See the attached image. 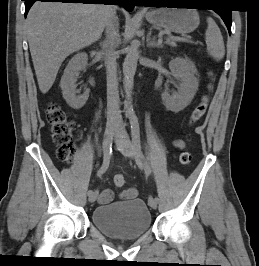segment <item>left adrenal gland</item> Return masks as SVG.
<instances>
[{
  "mask_svg": "<svg viewBox=\"0 0 259 266\" xmlns=\"http://www.w3.org/2000/svg\"><path fill=\"white\" fill-rule=\"evenodd\" d=\"M151 29L147 35V47H162V40L161 38L158 41H155L151 38Z\"/></svg>",
  "mask_w": 259,
  "mask_h": 266,
  "instance_id": "obj_1",
  "label": "left adrenal gland"
}]
</instances>
